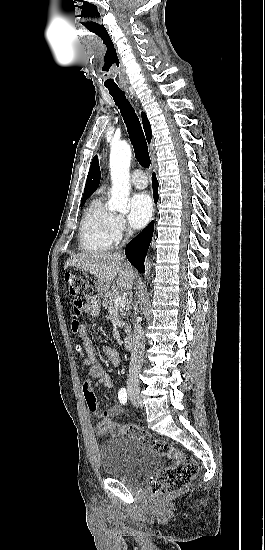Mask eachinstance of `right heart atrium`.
<instances>
[{
  "label": "right heart atrium",
  "instance_id": "right-heart-atrium-1",
  "mask_svg": "<svg viewBox=\"0 0 265 550\" xmlns=\"http://www.w3.org/2000/svg\"><path fill=\"white\" fill-rule=\"evenodd\" d=\"M114 232H115L116 239H120L127 232V226H126L125 220L120 215H117L115 217Z\"/></svg>",
  "mask_w": 265,
  "mask_h": 550
}]
</instances>
